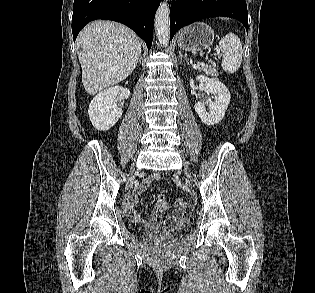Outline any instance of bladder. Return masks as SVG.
<instances>
[{"label":"bladder","instance_id":"obj_1","mask_svg":"<svg viewBox=\"0 0 315 293\" xmlns=\"http://www.w3.org/2000/svg\"><path fill=\"white\" fill-rule=\"evenodd\" d=\"M139 231L150 238H164L170 234V231L161 227L140 226Z\"/></svg>","mask_w":315,"mask_h":293}]
</instances>
